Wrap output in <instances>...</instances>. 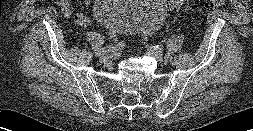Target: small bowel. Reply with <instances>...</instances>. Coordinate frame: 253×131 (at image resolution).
Returning <instances> with one entry per match:
<instances>
[{
    "label": "small bowel",
    "mask_w": 253,
    "mask_h": 131,
    "mask_svg": "<svg viewBox=\"0 0 253 131\" xmlns=\"http://www.w3.org/2000/svg\"><path fill=\"white\" fill-rule=\"evenodd\" d=\"M86 4H90L91 0H84ZM58 7L68 18H73L74 21L80 25L87 26L90 24V20L87 19L81 12H74L73 5L70 0H60L57 3Z\"/></svg>",
    "instance_id": "small-bowel-1"
}]
</instances>
